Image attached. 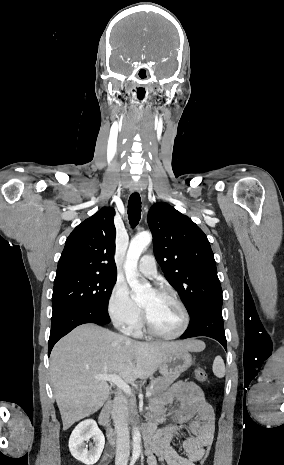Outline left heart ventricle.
Listing matches in <instances>:
<instances>
[{
	"label": "left heart ventricle",
	"mask_w": 284,
	"mask_h": 465,
	"mask_svg": "<svg viewBox=\"0 0 284 465\" xmlns=\"http://www.w3.org/2000/svg\"><path fill=\"white\" fill-rule=\"evenodd\" d=\"M141 309L149 318L150 327L158 334L172 335L182 327L183 317L179 308L155 292L141 304Z\"/></svg>",
	"instance_id": "obj_1"
}]
</instances>
